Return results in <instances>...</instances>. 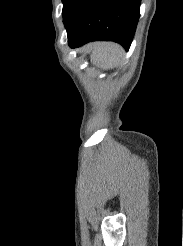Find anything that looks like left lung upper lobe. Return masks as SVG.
<instances>
[{
    "mask_svg": "<svg viewBox=\"0 0 183 246\" xmlns=\"http://www.w3.org/2000/svg\"><path fill=\"white\" fill-rule=\"evenodd\" d=\"M73 0H62V3H63V11H62V15H63V19L69 9V6L71 4Z\"/></svg>",
    "mask_w": 183,
    "mask_h": 246,
    "instance_id": "1",
    "label": "left lung upper lobe"
}]
</instances>
